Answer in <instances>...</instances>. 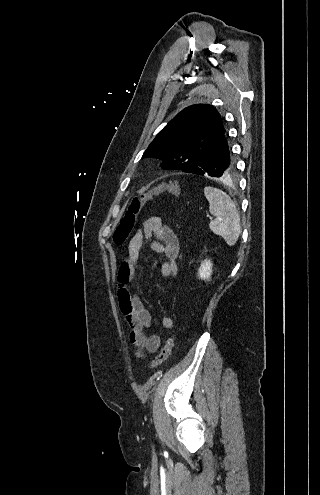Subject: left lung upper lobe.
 Masks as SVG:
<instances>
[{
  "label": "left lung upper lobe",
  "mask_w": 320,
  "mask_h": 495,
  "mask_svg": "<svg viewBox=\"0 0 320 495\" xmlns=\"http://www.w3.org/2000/svg\"><path fill=\"white\" fill-rule=\"evenodd\" d=\"M224 133L221 116L213 106L192 105L179 112L157 134L143 157L163 160V169L183 171L196 163Z\"/></svg>",
  "instance_id": "left-lung-upper-lobe-1"
}]
</instances>
